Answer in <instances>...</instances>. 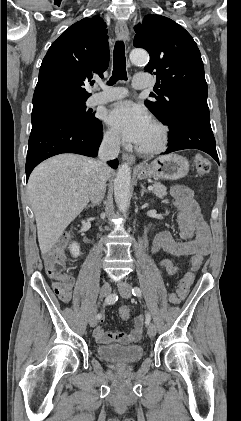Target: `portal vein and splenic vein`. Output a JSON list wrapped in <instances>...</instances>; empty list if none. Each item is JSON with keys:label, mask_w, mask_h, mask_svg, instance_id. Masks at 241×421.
I'll list each match as a JSON object with an SVG mask.
<instances>
[{"label": "portal vein and splenic vein", "mask_w": 241, "mask_h": 421, "mask_svg": "<svg viewBox=\"0 0 241 421\" xmlns=\"http://www.w3.org/2000/svg\"><path fill=\"white\" fill-rule=\"evenodd\" d=\"M148 190H153V186H149L148 187Z\"/></svg>", "instance_id": "obj_1"}]
</instances>
